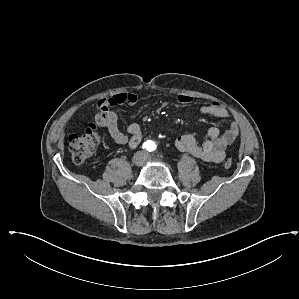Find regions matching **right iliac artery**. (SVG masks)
<instances>
[{
  "mask_svg": "<svg viewBox=\"0 0 299 299\" xmlns=\"http://www.w3.org/2000/svg\"><path fill=\"white\" fill-rule=\"evenodd\" d=\"M142 148L146 149V150H149V148H150V142L147 141V142L143 143Z\"/></svg>",
  "mask_w": 299,
  "mask_h": 299,
  "instance_id": "right-iliac-artery-1",
  "label": "right iliac artery"
}]
</instances>
